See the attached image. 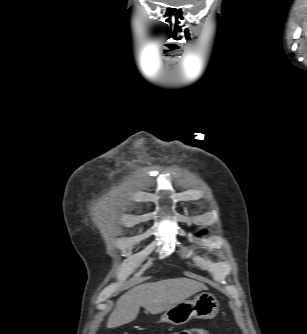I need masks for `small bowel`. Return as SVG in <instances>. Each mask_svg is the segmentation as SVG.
Returning a JSON list of instances; mask_svg holds the SVG:
<instances>
[{"instance_id": "obj_1", "label": "small bowel", "mask_w": 307, "mask_h": 334, "mask_svg": "<svg viewBox=\"0 0 307 334\" xmlns=\"http://www.w3.org/2000/svg\"><path fill=\"white\" fill-rule=\"evenodd\" d=\"M183 334H209V332L202 327H195L183 332Z\"/></svg>"}]
</instances>
